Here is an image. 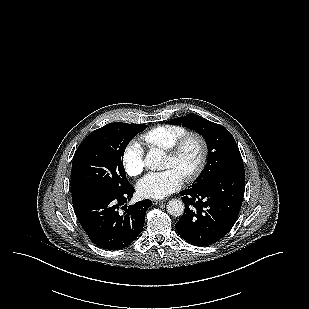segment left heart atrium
I'll list each match as a JSON object with an SVG mask.
<instances>
[{"label":"left heart atrium","mask_w":309,"mask_h":309,"mask_svg":"<svg viewBox=\"0 0 309 309\" xmlns=\"http://www.w3.org/2000/svg\"><path fill=\"white\" fill-rule=\"evenodd\" d=\"M183 177L174 169L151 172L137 184L138 194L144 198L161 199L178 190Z\"/></svg>","instance_id":"1"}]
</instances>
